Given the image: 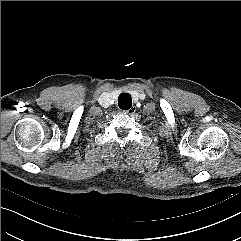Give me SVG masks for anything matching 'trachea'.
I'll use <instances>...</instances> for the list:
<instances>
[{
    "mask_svg": "<svg viewBox=\"0 0 241 241\" xmlns=\"http://www.w3.org/2000/svg\"><path fill=\"white\" fill-rule=\"evenodd\" d=\"M119 108L122 110H128L132 106V98L128 93H123L118 98Z\"/></svg>",
    "mask_w": 241,
    "mask_h": 241,
    "instance_id": "3493384b",
    "label": "trachea"
}]
</instances>
